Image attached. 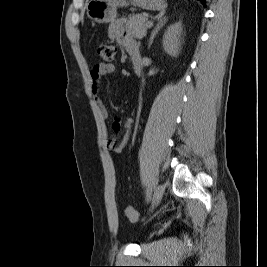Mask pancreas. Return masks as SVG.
I'll use <instances>...</instances> for the list:
<instances>
[{
    "label": "pancreas",
    "instance_id": "obj_1",
    "mask_svg": "<svg viewBox=\"0 0 267 267\" xmlns=\"http://www.w3.org/2000/svg\"><path fill=\"white\" fill-rule=\"evenodd\" d=\"M148 22V15L145 13L142 14H136L133 16H130L127 20H125L126 23V29L127 31L137 39H142L147 34V24Z\"/></svg>",
    "mask_w": 267,
    "mask_h": 267
}]
</instances>
